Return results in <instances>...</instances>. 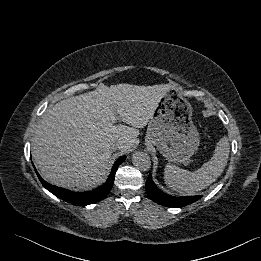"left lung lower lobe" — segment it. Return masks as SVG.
Returning a JSON list of instances; mask_svg holds the SVG:
<instances>
[{"mask_svg": "<svg viewBox=\"0 0 261 261\" xmlns=\"http://www.w3.org/2000/svg\"><path fill=\"white\" fill-rule=\"evenodd\" d=\"M146 193L151 200L160 205L177 208L191 204L202 197V195L188 197H175L167 195L154 184L151 174L146 181Z\"/></svg>", "mask_w": 261, "mask_h": 261, "instance_id": "0a47b994", "label": "left lung lower lobe"}]
</instances>
